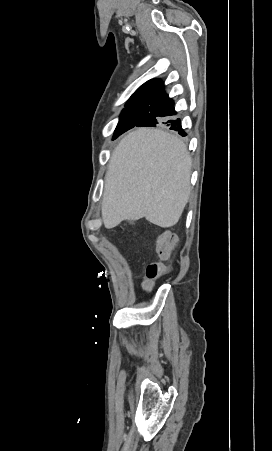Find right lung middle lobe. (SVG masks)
<instances>
[{
	"instance_id": "right-lung-middle-lobe-1",
	"label": "right lung middle lobe",
	"mask_w": 272,
	"mask_h": 451,
	"mask_svg": "<svg viewBox=\"0 0 272 451\" xmlns=\"http://www.w3.org/2000/svg\"><path fill=\"white\" fill-rule=\"evenodd\" d=\"M152 100L153 98L129 100L125 105L126 108L121 113L114 138L144 118L150 111Z\"/></svg>"
}]
</instances>
